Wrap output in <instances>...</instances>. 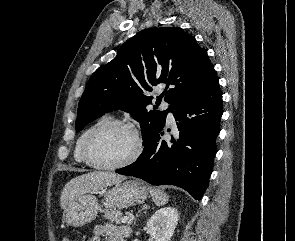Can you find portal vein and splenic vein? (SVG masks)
<instances>
[{"mask_svg":"<svg viewBox=\"0 0 295 241\" xmlns=\"http://www.w3.org/2000/svg\"><path fill=\"white\" fill-rule=\"evenodd\" d=\"M121 222L122 223H128L129 221H128V218L127 217H122L121 218Z\"/></svg>","mask_w":295,"mask_h":241,"instance_id":"obj_1","label":"portal vein and splenic vein"}]
</instances>
